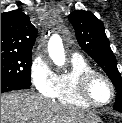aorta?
<instances>
[{
	"label": "aorta",
	"instance_id": "762f6f07",
	"mask_svg": "<svg viewBox=\"0 0 122 123\" xmlns=\"http://www.w3.org/2000/svg\"><path fill=\"white\" fill-rule=\"evenodd\" d=\"M48 53L55 65L62 67L65 64V52L59 37H53L48 43Z\"/></svg>",
	"mask_w": 122,
	"mask_h": 123
}]
</instances>
